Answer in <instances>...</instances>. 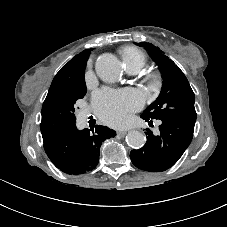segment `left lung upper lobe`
I'll list each match as a JSON object with an SVG mask.
<instances>
[{
    "instance_id": "obj_1",
    "label": "left lung upper lobe",
    "mask_w": 227,
    "mask_h": 227,
    "mask_svg": "<svg viewBox=\"0 0 227 227\" xmlns=\"http://www.w3.org/2000/svg\"><path fill=\"white\" fill-rule=\"evenodd\" d=\"M137 45L149 51L163 77L161 93L142 115L150 119L177 117L195 122V95L181 69L151 43L141 42Z\"/></svg>"
}]
</instances>
